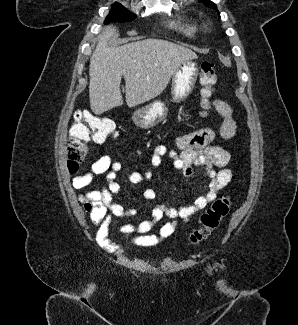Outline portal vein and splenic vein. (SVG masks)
Listing matches in <instances>:
<instances>
[{"label":"portal vein and splenic vein","mask_w":298,"mask_h":325,"mask_svg":"<svg viewBox=\"0 0 298 325\" xmlns=\"http://www.w3.org/2000/svg\"><path fill=\"white\" fill-rule=\"evenodd\" d=\"M135 76H139V74H135Z\"/></svg>","instance_id":"1"}]
</instances>
